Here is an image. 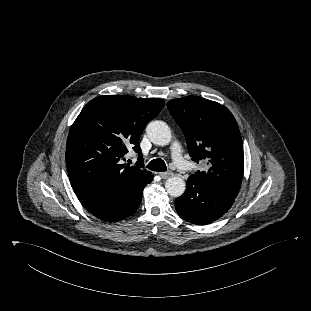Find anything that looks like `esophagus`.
I'll use <instances>...</instances> for the list:
<instances>
[{
	"label": "esophagus",
	"instance_id": "1",
	"mask_svg": "<svg viewBox=\"0 0 311 311\" xmlns=\"http://www.w3.org/2000/svg\"><path fill=\"white\" fill-rule=\"evenodd\" d=\"M159 175L161 176V178L163 179H167L172 175V172L168 171V172H161L159 173Z\"/></svg>",
	"mask_w": 311,
	"mask_h": 311
}]
</instances>
